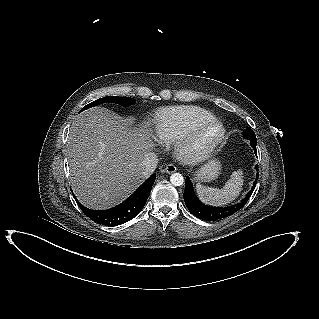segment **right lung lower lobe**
<instances>
[{
  "instance_id": "obj_1",
  "label": "right lung lower lobe",
  "mask_w": 319,
  "mask_h": 319,
  "mask_svg": "<svg viewBox=\"0 0 319 319\" xmlns=\"http://www.w3.org/2000/svg\"><path fill=\"white\" fill-rule=\"evenodd\" d=\"M155 178L156 174L154 173L128 199L108 210L88 209L80 204L75 196L74 198L84 214L93 221L103 225H119L130 221L141 212L149 197Z\"/></svg>"
}]
</instances>
